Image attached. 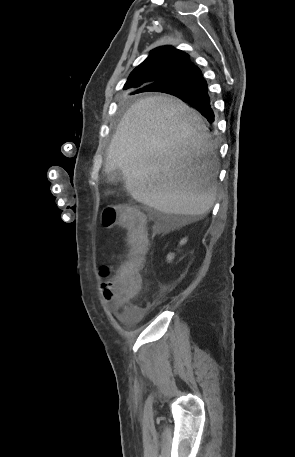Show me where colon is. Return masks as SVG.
<instances>
[{
    "mask_svg": "<svg viewBox=\"0 0 295 457\" xmlns=\"http://www.w3.org/2000/svg\"><path fill=\"white\" fill-rule=\"evenodd\" d=\"M102 222L106 227L120 224L127 228L130 252L126 262L114 276L102 272L104 296L117 305H124L138 293L141 280L140 271L148 249L146 222L143 214L132 206H108L103 210Z\"/></svg>",
    "mask_w": 295,
    "mask_h": 457,
    "instance_id": "obj_1",
    "label": "colon"
}]
</instances>
